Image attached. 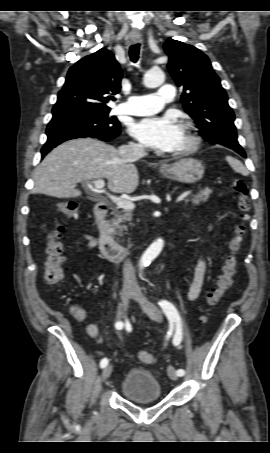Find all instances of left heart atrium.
<instances>
[{"label":"left heart atrium","instance_id":"obj_1","mask_svg":"<svg viewBox=\"0 0 270 453\" xmlns=\"http://www.w3.org/2000/svg\"><path fill=\"white\" fill-rule=\"evenodd\" d=\"M130 133L143 145L172 151L181 136V126L171 115L147 117L131 124Z\"/></svg>","mask_w":270,"mask_h":453}]
</instances>
